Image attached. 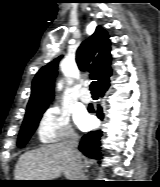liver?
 Segmentation results:
<instances>
[{"instance_id":"obj_1","label":"liver","mask_w":160,"mask_h":187,"mask_svg":"<svg viewBox=\"0 0 160 187\" xmlns=\"http://www.w3.org/2000/svg\"><path fill=\"white\" fill-rule=\"evenodd\" d=\"M64 174L67 180L78 179V166L65 144L42 146L20 156L15 180H54Z\"/></svg>"}]
</instances>
